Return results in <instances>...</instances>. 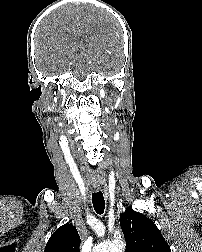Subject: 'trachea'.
I'll return each instance as SVG.
<instances>
[{"instance_id":"3493384b","label":"trachea","mask_w":202,"mask_h":252,"mask_svg":"<svg viewBox=\"0 0 202 252\" xmlns=\"http://www.w3.org/2000/svg\"><path fill=\"white\" fill-rule=\"evenodd\" d=\"M92 203L97 214L104 213L105 200L101 191L92 194Z\"/></svg>"}]
</instances>
